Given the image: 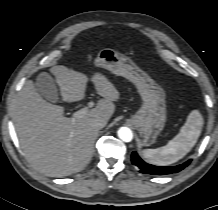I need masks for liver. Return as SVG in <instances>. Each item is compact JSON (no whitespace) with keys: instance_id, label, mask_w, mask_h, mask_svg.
<instances>
[{"instance_id":"1","label":"liver","mask_w":218,"mask_h":210,"mask_svg":"<svg viewBox=\"0 0 218 210\" xmlns=\"http://www.w3.org/2000/svg\"><path fill=\"white\" fill-rule=\"evenodd\" d=\"M56 77L63 101H80L85 96L87 77L65 66L50 69ZM92 81L102 99L78 119L64 117V109L44 100L31 80L21 89L13 109V122L28 161L50 177H64L82 170L90 161L98 130L94 120L108 121L119 99L116 87L101 73Z\"/></svg>"}]
</instances>
